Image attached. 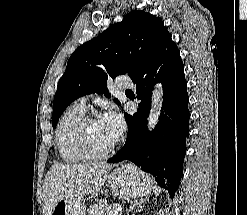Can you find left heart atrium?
<instances>
[{
	"label": "left heart atrium",
	"instance_id": "1",
	"mask_svg": "<svg viewBox=\"0 0 247 215\" xmlns=\"http://www.w3.org/2000/svg\"><path fill=\"white\" fill-rule=\"evenodd\" d=\"M100 121L115 141L122 135L125 129L124 119L116 110L107 111Z\"/></svg>",
	"mask_w": 247,
	"mask_h": 215
}]
</instances>
